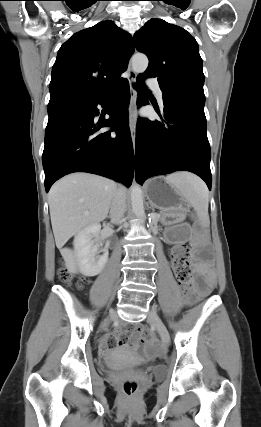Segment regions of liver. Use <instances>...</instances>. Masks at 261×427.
I'll return each mask as SVG.
<instances>
[{"label": "liver", "instance_id": "1", "mask_svg": "<svg viewBox=\"0 0 261 427\" xmlns=\"http://www.w3.org/2000/svg\"><path fill=\"white\" fill-rule=\"evenodd\" d=\"M116 190L113 180L87 173L67 175L52 186L48 203L56 246L61 252L72 236L107 217Z\"/></svg>", "mask_w": 261, "mask_h": 427}]
</instances>
